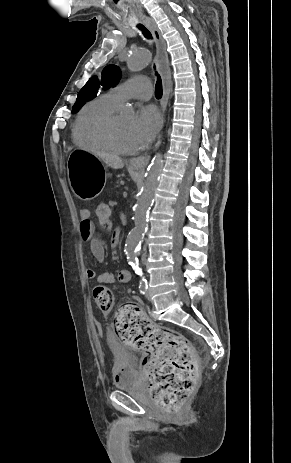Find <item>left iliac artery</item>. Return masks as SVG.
<instances>
[{"label":"left iliac artery","mask_w":291,"mask_h":463,"mask_svg":"<svg viewBox=\"0 0 291 463\" xmlns=\"http://www.w3.org/2000/svg\"><path fill=\"white\" fill-rule=\"evenodd\" d=\"M147 288H148L147 280H146L145 278H142V279L140 280V284H139L140 293H141V294H145Z\"/></svg>","instance_id":"obj_1"}]
</instances>
